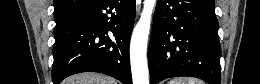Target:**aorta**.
Listing matches in <instances>:
<instances>
[{
  "label": "aorta",
  "mask_w": 260,
  "mask_h": 84,
  "mask_svg": "<svg viewBox=\"0 0 260 84\" xmlns=\"http://www.w3.org/2000/svg\"><path fill=\"white\" fill-rule=\"evenodd\" d=\"M156 0H144L141 17L136 24L130 43V62L133 84H148L147 43L151 17Z\"/></svg>",
  "instance_id": "1"
}]
</instances>
